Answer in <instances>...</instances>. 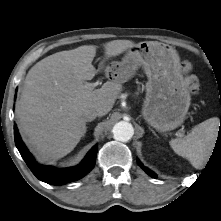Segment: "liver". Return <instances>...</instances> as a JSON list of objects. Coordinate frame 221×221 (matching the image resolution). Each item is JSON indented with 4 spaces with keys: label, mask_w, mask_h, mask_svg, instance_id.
I'll return each mask as SVG.
<instances>
[{
    "label": "liver",
    "mask_w": 221,
    "mask_h": 221,
    "mask_svg": "<svg viewBox=\"0 0 221 221\" xmlns=\"http://www.w3.org/2000/svg\"><path fill=\"white\" fill-rule=\"evenodd\" d=\"M134 46L130 40H113L103 45L106 58L122 54ZM95 45H83L52 54L28 72L16 106L19 131L39 160H57L69 154L86 133L83 111L99 109L106 115L122 90L116 81L94 89L86 81L96 69L92 61ZM104 66L100 62L99 69Z\"/></svg>",
    "instance_id": "obj_1"
}]
</instances>
